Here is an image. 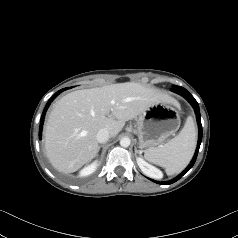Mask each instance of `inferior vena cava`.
<instances>
[{"mask_svg":"<svg viewBox=\"0 0 238 238\" xmlns=\"http://www.w3.org/2000/svg\"><path fill=\"white\" fill-rule=\"evenodd\" d=\"M110 133L107 129H100L97 132L96 139L99 143H105L109 140Z\"/></svg>","mask_w":238,"mask_h":238,"instance_id":"inferior-vena-cava-1","label":"inferior vena cava"}]
</instances>
